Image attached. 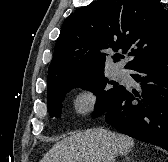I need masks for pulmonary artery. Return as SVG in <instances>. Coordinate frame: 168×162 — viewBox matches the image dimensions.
<instances>
[{"label": "pulmonary artery", "mask_w": 168, "mask_h": 162, "mask_svg": "<svg viewBox=\"0 0 168 162\" xmlns=\"http://www.w3.org/2000/svg\"><path fill=\"white\" fill-rule=\"evenodd\" d=\"M126 75H127V73L125 71H119L118 72L119 77H125Z\"/></svg>", "instance_id": "e3ab8cb5"}]
</instances>
